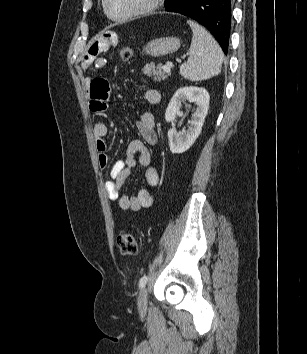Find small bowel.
<instances>
[{
  "label": "small bowel",
  "mask_w": 307,
  "mask_h": 354,
  "mask_svg": "<svg viewBox=\"0 0 307 354\" xmlns=\"http://www.w3.org/2000/svg\"><path fill=\"white\" fill-rule=\"evenodd\" d=\"M117 34L113 31L105 32L97 41L93 42L82 61L81 68L87 70L93 65L103 67L105 59L99 57L103 50H108L116 46ZM85 85L90 93V106L93 111L103 112L108 108L109 84L103 78H85ZM144 101L148 105L156 104L160 101V93L155 89H147L144 92ZM138 131L143 140H132L127 147V157L125 160L115 161L110 168L111 180L107 181L105 188L111 200H117L121 209L140 211L153 203V194L149 188H142L135 196H129L123 191V186L128 178L131 169L136 164V157L139 164L144 168V177L149 187L158 185L160 176L158 169L151 165V156L145 146L155 144L158 136L155 130V119L150 111H145L137 124ZM108 125L105 122H97L93 128V134L98 151V160L101 168L108 166L107 145L105 137L108 135Z\"/></svg>",
  "instance_id": "small-bowel-1"
}]
</instances>
